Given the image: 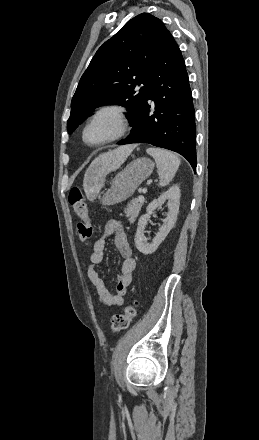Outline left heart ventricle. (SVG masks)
I'll return each instance as SVG.
<instances>
[{"instance_id":"1","label":"left heart ventricle","mask_w":259,"mask_h":440,"mask_svg":"<svg viewBox=\"0 0 259 440\" xmlns=\"http://www.w3.org/2000/svg\"><path fill=\"white\" fill-rule=\"evenodd\" d=\"M117 130V125L113 117L105 115L96 119L86 130V140L89 142H99L112 136Z\"/></svg>"}]
</instances>
